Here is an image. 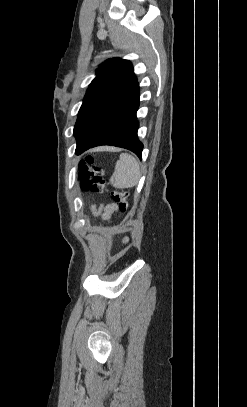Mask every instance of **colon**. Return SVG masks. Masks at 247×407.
<instances>
[{"instance_id": "obj_1", "label": "colon", "mask_w": 247, "mask_h": 407, "mask_svg": "<svg viewBox=\"0 0 247 407\" xmlns=\"http://www.w3.org/2000/svg\"><path fill=\"white\" fill-rule=\"evenodd\" d=\"M80 186L84 191L101 193L109 190L103 177V171L95 165L94 158L86 156L78 163ZM112 201L118 205L121 212L128 210V193L120 190H109Z\"/></svg>"}]
</instances>
